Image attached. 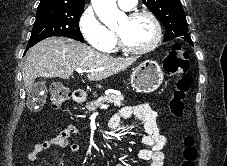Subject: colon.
<instances>
[{"mask_svg": "<svg viewBox=\"0 0 227 166\" xmlns=\"http://www.w3.org/2000/svg\"><path fill=\"white\" fill-rule=\"evenodd\" d=\"M165 70L170 76H179L177 86L169 101V111L174 117H182L185 109L186 94L193 84L189 71L188 53L179 44L171 47L165 61ZM69 96L68 90L60 84H51L50 102L54 108H60ZM198 152L195 141L188 136L184 139L183 162L181 166H195Z\"/></svg>", "mask_w": 227, "mask_h": 166, "instance_id": "colon-1", "label": "colon"}]
</instances>
